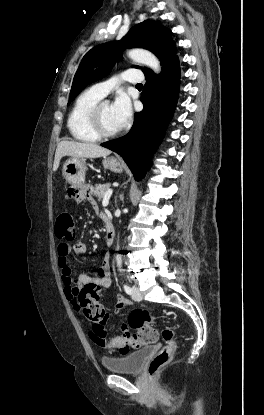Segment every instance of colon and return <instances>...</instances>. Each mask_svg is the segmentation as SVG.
Listing matches in <instances>:
<instances>
[{
    "mask_svg": "<svg viewBox=\"0 0 264 415\" xmlns=\"http://www.w3.org/2000/svg\"><path fill=\"white\" fill-rule=\"evenodd\" d=\"M55 236L62 243H70L74 240V222L69 211H63L58 215ZM99 292L94 283L85 284L79 293V305L82 309L81 314L89 322L92 331L97 337L105 333V320L107 314L105 309L99 304ZM151 318L147 309H140L133 312L129 317V325L136 330L131 333L123 332L122 335L110 339L103 338L106 344L120 346L122 351L139 349L145 344L155 343L159 334L158 331L148 324ZM174 330L166 328L162 332V337L166 343L165 347L150 361L148 373L150 377L158 374L161 368L168 364L176 348Z\"/></svg>",
    "mask_w": 264,
    "mask_h": 415,
    "instance_id": "colon-1",
    "label": "colon"
}]
</instances>
